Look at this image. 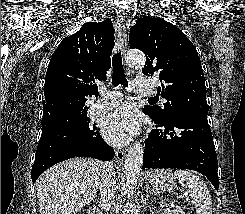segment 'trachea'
Wrapping results in <instances>:
<instances>
[{"mask_svg": "<svg viewBox=\"0 0 245 214\" xmlns=\"http://www.w3.org/2000/svg\"><path fill=\"white\" fill-rule=\"evenodd\" d=\"M112 66H113V76H112V84L114 87L122 84L125 87H128V82L125 78L124 69L122 65V56L121 52H117L113 55L112 58ZM149 100H155L154 98H150Z\"/></svg>", "mask_w": 245, "mask_h": 214, "instance_id": "trachea-1", "label": "trachea"}]
</instances>
